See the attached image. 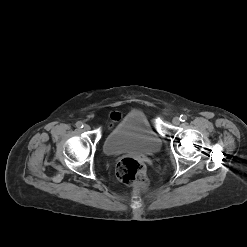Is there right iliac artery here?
<instances>
[{
    "label": "right iliac artery",
    "mask_w": 247,
    "mask_h": 247,
    "mask_svg": "<svg viewBox=\"0 0 247 247\" xmlns=\"http://www.w3.org/2000/svg\"><path fill=\"white\" fill-rule=\"evenodd\" d=\"M76 126H77L78 128H83V123H82L81 121H78V122L76 123Z\"/></svg>",
    "instance_id": "obj_1"
}]
</instances>
